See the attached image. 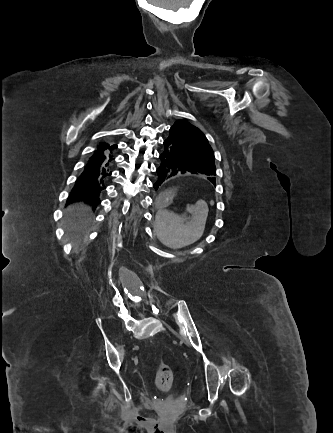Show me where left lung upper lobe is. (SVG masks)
Instances as JSON below:
<instances>
[{
  "label": "left lung upper lobe",
  "instance_id": "obj_1",
  "mask_svg": "<svg viewBox=\"0 0 333 433\" xmlns=\"http://www.w3.org/2000/svg\"><path fill=\"white\" fill-rule=\"evenodd\" d=\"M170 143H174L205 161L215 166L214 153L205 135L195 126L185 120H177L170 128L167 137Z\"/></svg>",
  "mask_w": 333,
  "mask_h": 433
}]
</instances>
